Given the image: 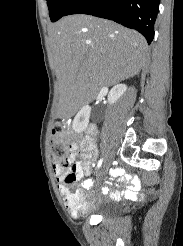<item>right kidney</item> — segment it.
Listing matches in <instances>:
<instances>
[{"mask_svg": "<svg viewBox=\"0 0 183 246\" xmlns=\"http://www.w3.org/2000/svg\"><path fill=\"white\" fill-rule=\"evenodd\" d=\"M127 86L125 84H117L115 85L108 94V102L109 104H114L123 94L126 92ZM90 116V107L84 106L80 112L76 115L73 121V129L76 132L83 131L89 122Z\"/></svg>", "mask_w": 183, "mask_h": 246, "instance_id": "ca27d5eb", "label": "right kidney"}]
</instances>
